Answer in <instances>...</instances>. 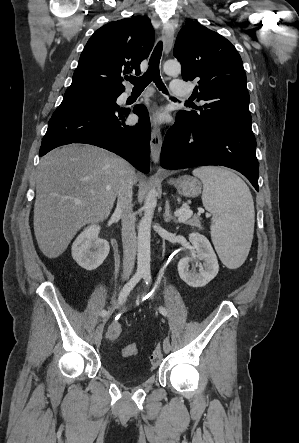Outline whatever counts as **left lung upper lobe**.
Here are the masks:
<instances>
[{
  "label": "left lung upper lobe",
  "instance_id": "1",
  "mask_svg": "<svg viewBox=\"0 0 299 443\" xmlns=\"http://www.w3.org/2000/svg\"><path fill=\"white\" fill-rule=\"evenodd\" d=\"M173 54L181 63L182 78L198 80L196 96L203 101L200 112L179 113L203 127H251L246 74L230 41L203 25L191 23L179 32Z\"/></svg>",
  "mask_w": 299,
  "mask_h": 443
}]
</instances>
